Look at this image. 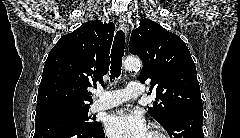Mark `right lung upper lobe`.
<instances>
[{"instance_id":"right-lung-upper-lobe-1","label":"right lung upper lobe","mask_w":240,"mask_h":138,"mask_svg":"<svg viewBox=\"0 0 240 138\" xmlns=\"http://www.w3.org/2000/svg\"><path fill=\"white\" fill-rule=\"evenodd\" d=\"M114 30L112 22L94 20L60 38L44 65L36 115L90 106L87 87L104 83Z\"/></svg>"}]
</instances>
